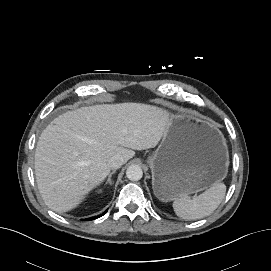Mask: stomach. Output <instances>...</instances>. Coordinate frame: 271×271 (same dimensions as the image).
<instances>
[{
    "mask_svg": "<svg viewBox=\"0 0 271 271\" xmlns=\"http://www.w3.org/2000/svg\"><path fill=\"white\" fill-rule=\"evenodd\" d=\"M155 196L170 202L222 181L229 153L221 131L211 122L183 111L171 115L158 148L148 157Z\"/></svg>",
    "mask_w": 271,
    "mask_h": 271,
    "instance_id": "1",
    "label": "stomach"
}]
</instances>
